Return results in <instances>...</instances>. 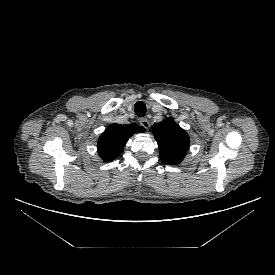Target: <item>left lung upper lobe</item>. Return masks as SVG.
Returning a JSON list of instances; mask_svg holds the SVG:
<instances>
[{"mask_svg": "<svg viewBox=\"0 0 275 275\" xmlns=\"http://www.w3.org/2000/svg\"><path fill=\"white\" fill-rule=\"evenodd\" d=\"M163 163L179 164L189 149V136L172 118H167L152 126Z\"/></svg>", "mask_w": 275, "mask_h": 275, "instance_id": "5c2ea615", "label": "left lung upper lobe"}]
</instances>
